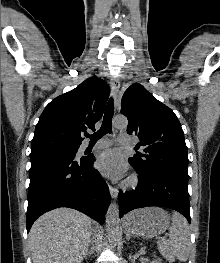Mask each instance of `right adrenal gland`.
I'll use <instances>...</instances> for the list:
<instances>
[{"label":"right adrenal gland","instance_id":"obj_1","mask_svg":"<svg viewBox=\"0 0 220 263\" xmlns=\"http://www.w3.org/2000/svg\"><path fill=\"white\" fill-rule=\"evenodd\" d=\"M94 251H95V246L92 245L91 249L86 253L85 258L87 256H91L92 254H94Z\"/></svg>","mask_w":220,"mask_h":263}]
</instances>
